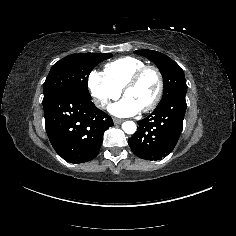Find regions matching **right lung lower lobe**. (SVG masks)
Segmentation results:
<instances>
[{
    "label": "right lung lower lobe",
    "mask_w": 236,
    "mask_h": 236,
    "mask_svg": "<svg viewBox=\"0 0 236 236\" xmlns=\"http://www.w3.org/2000/svg\"><path fill=\"white\" fill-rule=\"evenodd\" d=\"M42 104L46 132L59 156L79 164L98 155L104 132L114 125L109 115L90 99L65 91L52 93Z\"/></svg>",
    "instance_id": "98d812e1"
}]
</instances>
